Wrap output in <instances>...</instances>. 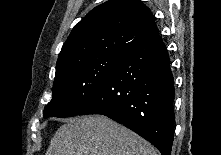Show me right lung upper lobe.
<instances>
[{"instance_id":"obj_1","label":"right lung upper lobe","mask_w":221,"mask_h":155,"mask_svg":"<svg viewBox=\"0 0 221 155\" xmlns=\"http://www.w3.org/2000/svg\"><path fill=\"white\" fill-rule=\"evenodd\" d=\"M159 34L151 11L138 0H109L89 12L72 30L59 54L56 72L69 63L103 53L126 54Z\"/></svg>"}]
</instances>
